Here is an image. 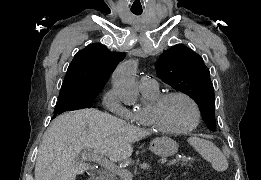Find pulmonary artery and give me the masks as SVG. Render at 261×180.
Returning a JSON list of instances; mask_svg holds the SVG:
<instances>
[{"label": "pulmonary artery", "mask_w": 261, "mask_h": 180, "mask_svg": "<svg viewBox=\"0 0 261 180\" xmlns=\"http://www.w3.org/2000/svg\"><path fill=\"white\" fill-rule=\"evenodd\" d=\"M157 81L148 75H143L139 78V87L142 91H152L157 89Z\"/></svg>", "instance_id": "pulmonary-artery-1"}]
</instances>
